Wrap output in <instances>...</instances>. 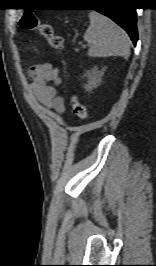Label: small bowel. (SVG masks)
I'll return each instance as SVG.
<instances>
[{
	"label": "small bowel",
	"mask_w": 156,
	"mask_h": 266,
	"mask_svg": "<svg viewBox=\"0 0 156 266\" xmlns=\"http://www.w3.org/2000/svg\"><path fill=\"white\" fill-rule=\"evenodd\" d=\"M30 76L35 99L46 109L63 114L65 104L56 91V87L62 84L59 69L51 63L38 64L30 68Z\"/></svg>",
	"instance_id": "small-bowel-1"
}]
</instances>
